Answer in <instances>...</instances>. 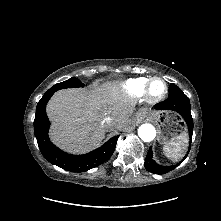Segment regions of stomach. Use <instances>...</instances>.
<instances>
[{
  "mask_svg": "<svg viewBox=\"0 0 221 221\" xmlns=\"http://www.w3.org/2000/svg\"><path fill=\"white\" fill-rule=\"evenodd\" d=\"M140 113L145 118L153 119L157 123L159 128L158 141L164 145L169 144L178 134L186 133L183 121L174 113H157L151 108H143Z\"/></svg>",
  "mask_w": 221,
  "mask_h": 221,
  "instance_id": "0dacf381",
  "label": "stomach"
}]
</instances>
